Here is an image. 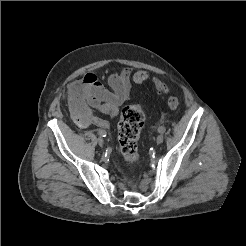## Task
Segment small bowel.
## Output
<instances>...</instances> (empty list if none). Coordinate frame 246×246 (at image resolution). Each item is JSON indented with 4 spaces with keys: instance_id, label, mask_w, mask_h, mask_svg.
<instances>
[{
    "instance_id": "obj_1",
    "label": "small bowel",
    "mask_w": 246,
    "mask_h": 246,
    "mask_svg": "<svg viewBox=\"0 0 246 246\" xmlns=\"http://www.w3.org/2000/svg\"><path fill=\"white\" fill-rule=\"evenodd\" d=\"M131 71L124 68L108 77L110 89H106L93 73L85 74L67 88L68 103L72 118L77 126L87 128L95 125L102 129L109 122L98 117L95 112L117 117L119 108L130 98Z\"/></svg>"
}]
</instances>
